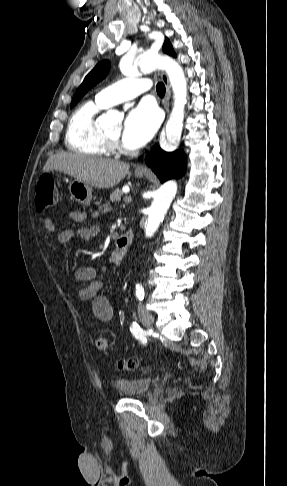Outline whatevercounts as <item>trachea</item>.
<instances>
[{"instance_id": "1", "label": "trachea", "mask_w": 287, "mask_h": 486, "mask_svg": "<svg viewBox=\"0 0 287 486\" xmlns=\"http://www.w3.org/2000/svg\"><path fill=\"white\" fill-rule=\"evenodd\" d=\"M156 91L159 96L165 95V85L163 83H158L156 86Z\"/></svg>"}]
</instances>
